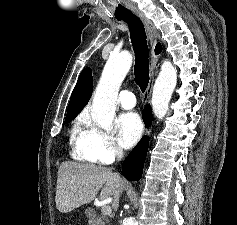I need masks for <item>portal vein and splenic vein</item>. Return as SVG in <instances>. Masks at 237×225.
Listing matches in <instances>:
<instances>
[{
	"label": "portal vein and splenic vein",
	"instance_id": "portal-vein-and-splenic-vein-1",
	"mask_svg": "<svg viewBox=\"0 0 237 225\" xmlns=\"http://www.w3.org/2000/svg\"><path fill=\"white\" fill-rule=\"evenodd\" d=\"M101 211H102V213L105 214V215H110L111 212H112V209H111L110 206H103V207L101 208Z\"/></svg>",
	"mask_w": 237,
	"mask_h": 225
}]
</instances>
